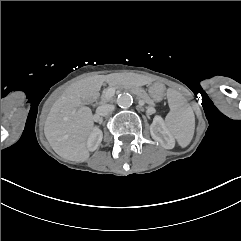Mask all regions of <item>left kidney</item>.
I'll return each instance as SVG.
<instances>
[{
    "mask_svg": "<svg viewBox=\"0 0 241 241\" xmlns=\"http://www.w3.org/2000/svg\"><path fill=\"white\" fill-rule=\"evenodd\" d=\"M150 133L152 138L159 142L165 149H173L175 146V140L167 129L164 120L161 116H155L152 124L150 125Z\"/></svg>",
    "mask_w": 241,
    "mask_h": 241,
    "instance_id": "5707ae66",
    "label": "left kidney"
}]
</instances>
